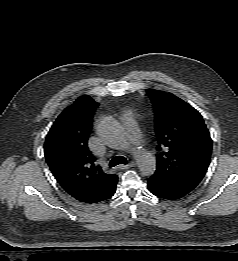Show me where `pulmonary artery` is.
Returning a JSON list of instances; mask_svg holds the SVG:
<instances>
[{
	"mask_svg": "<svg viewBox=\"0 0 238 261\" xmlns=\"http://www.w3.org/2000/svg\"><path fill=\"white\" fill-rule=\"evenodd\" d=\"M123 120L128 138L135 144L140 145L143 142V137L133 115L126 113Z\"/></svg>",
	"mask_w": 238,
	"mask_h": 261,
	"instance_id": "1",
	"label": "pulmonary artery"
}]
</instances>
